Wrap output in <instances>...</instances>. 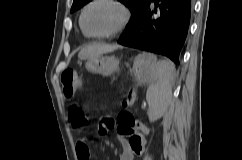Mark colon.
I'll list each match as a JSON object with an SVG mask.
<instances>
[{
	"label": "colon",
	"instance_id": "obj_1",
	"mask_svg": "<svg viewBox=\"0 0 242 160\" xmlns=\"http://www.w3.org/2000/svg\"><path fill=\"white\" fill-rule=\"evenodd\" d=\"M61 82L63 86L64 95L72 97L75 92L81 87L77 71L75 69H66L61 75ZM133 101V94L130 93L124 100L123 104L128 107ZM71 116L78 126L86 123V118L81 109L73 107L71 109ZM118 126L123 132H130L137 124L136 119L130 111H123L118 114L117 117Z\"/></svg>",
	"mask_w": 242,
	"mask_h": 160
}]
</instances>
